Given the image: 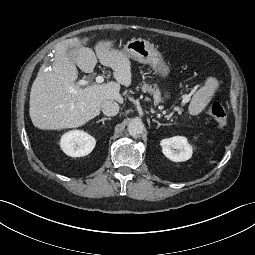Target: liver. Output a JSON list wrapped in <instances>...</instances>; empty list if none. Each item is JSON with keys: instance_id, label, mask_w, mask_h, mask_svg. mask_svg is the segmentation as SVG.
<instances>
[{"instance_id": "liver-1", "label": "liver", "mask_w": 255, "mask_h": 255, "mask_svg": "<svg viewBox=\"0 0 255 255\" xmlns=\"http://www.w3.org/2000/svg\"><path fill=\"white\" fill-rule=\"evenodd\" d=\"M112 47L113 41L101 40L95 45L94 53L77 37L55 45L53 62L41 66L30 92L29 114L35 127L43 130L76 128L99 115L103 101L123 103L120 85L130 86L131 63L123 50ZM97 59L113 70L116 82L85 88L75 84L76 66L85 73H92Z\"/></svg>"}]
</instances>
